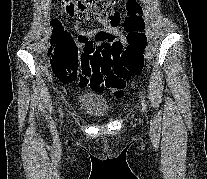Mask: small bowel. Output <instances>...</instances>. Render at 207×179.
Returning <instances> with one entry per match:
<instances>
[{
    "mask_svg": "<svg viewBox=\"0 0 207 179\" xmlns=\"http://www.w3.org/2000/svg\"><path fill=\"white\" fill-rule=\"evenodd\" d=\"M121 13L118 11H115L111 14L110 17L103 18L100 16H96L90 19L96 20L100 22L103 25V28H95V29H90V30H79L78 31V37L81 40H86L89 38L94 37L99 31H106L114 36H119L120 35V30H119V25L121 22ZM57 21L53 20L51 25L55 24ZM76 27L80 25V20L78 19L75 23ZM95 88H99L98 86H94Z\"/></svg>",
    "mask_w": 207,
    "mask_h": 179,
    "instance_id": "small-bowel-1",
    "label": "small bowel"
}]
</instances>
